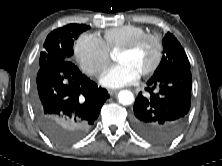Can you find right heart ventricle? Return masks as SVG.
Returning a JSON list of instances; mask_svg holds the SVG:
<instances>
[{"mask_svg": "<svg viewBox=\"0 0 222 166\" xmlns=\"http://www.w3.org/2000/svg\"><path fill=\"white\" fill-rule=\"evenodd\" d=\"M145 33L146 31L143 28L135 25L114 27L104 32L103 42L109 52H115Z\"/></svg>", "mask_w": 222, "mask_h": 166, "instance_id": "e07e8e85", "label": "right heart ventricle"}]
</instances>
